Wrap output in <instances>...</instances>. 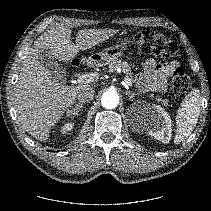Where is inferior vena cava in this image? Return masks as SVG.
<instances>
[{
	"label": "inferior vena cava",
	"mask_w": 211,
	"mask_h": 211,
	"mask_svg": "<svg viewBox=\"0 0 211 211\" xmlns=\"http://www.w3.org/2000/svg\"><path fill=\"white\" fill-rule=\"evenodd\" d=\"M94 93L95 91L92 87L84 88L78 93L77 99L79 102H90L93 100Z\"/></svg>",
	"instance_id": "1"
}]
</instances>
